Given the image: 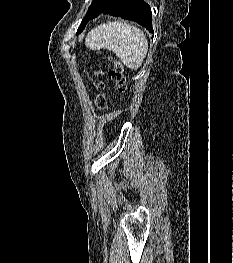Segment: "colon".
I'll return each mask as SVG.
<instances>
[{"label":"colon","mask_w":233,"mask_h":263,"mask_svg":"<svg viewBox=\"0 0 233 263\" xmlns=\"http://www.w3.org/2000/svg\"><path fill=\"white\" fill-rule=\"evenodd\" d=\"M109 60L111 62V67L108 70V77L110 80H112L115 84V89L120 94H125L127 91V82L126 77L124 75V69L122 64L114 59L113 57H109ZM99 88H103V84H99ZM96 104L99 108L103 109L107 105L106 98L104 94L100 93L96 98Z\"/></svg>","instance_id":"1"}]
</instances>
